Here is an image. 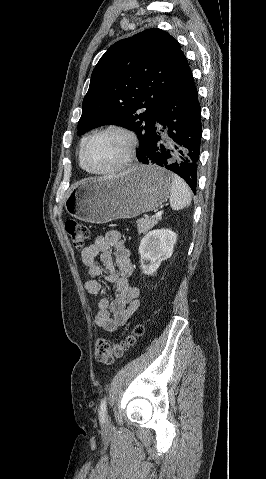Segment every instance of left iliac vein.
I'll use <instances>...</instances> for the list:
<instances>
[{"label":"left iliac vein","mask_w":266,"mask_h":479,"mask_svg":"<svg viewBox=\"0 0 266 479\" xmlns=\"http://www.w3.org/2000/svg\"><path fill=\"white\" fill-rule=\"evenodd\" d=\"M105 423H106V425H110V421L108 419L106 420Z\"/></svg>","instance_id":"4c4485c4"}]
</instances>
